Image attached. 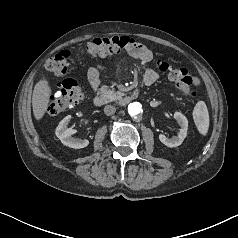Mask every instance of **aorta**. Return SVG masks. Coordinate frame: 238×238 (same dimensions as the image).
Segmentation results:
<instances>
[{
  "mask_svg": "<svg viewBox=\"0 0 238 238\" xmlns=\"http://www.w3.org/2000/svg\"><path fill=\"white\" fill-rule=\"evenodd\" d=\"M143 112L142 105L139 102H133L128 105V113L131 117H137Z\"/></svg>",
  "mask_w": 238,
  "mask_h": 238,
  "instance_id": "762f6f07",
  "label": "aorta"
}]
</instances>
